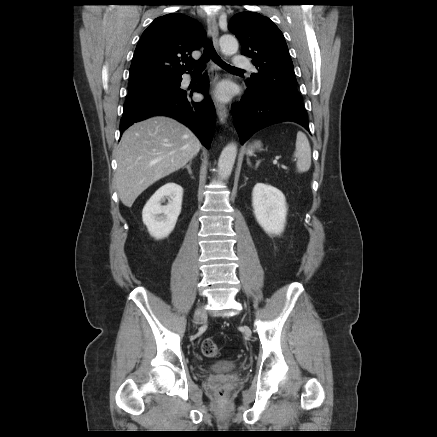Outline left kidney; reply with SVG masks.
I'll return each mask as SVG.
<instances>
[{
  "label": "left kidney",
  "mask_w": 437,
  "mask_h": 437,
  "mask_svg": "<svg viewBox=\"0 0 437 437\" xmlns=\"http://www.w3.org/2000/svg\"><path fill=\"white\" fill-rule=\"evenodd\" d=\"M252 206L258 224L266 233L280 235L284 231L287 203L280 190L268 184L257 183L252 192Z\"/></svg>",
  "instance_id": "left-kidney-1"
}]
</instances>
